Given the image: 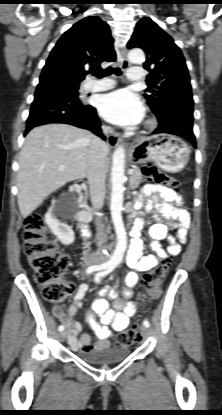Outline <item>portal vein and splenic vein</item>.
<instances>
[{"label": "portal vein and splenic vein", "mask_w": 222, "mask_h": 415, "mask_svg": "<svg viewBox=\"0 0 222 415\" xmlns=\"http://www.w3.org/2000/svg\"><path fill=\"white\" fill-rule=\"evenodd\" d=\"M64 168H65V166L63 165V166H61L59 169H64ZM128 174L132 175V174H133V169H130V170L128 171Z\"/></svg>", "instance_id": "18ae733b"}]
</instances>
